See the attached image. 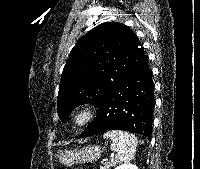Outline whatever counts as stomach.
<instances>
[{
	"label": "stomach",
	"mask_w": 200,
	"mask_h": 169,
	"mask_svg": "<svg viewBox=\"0 0 200 169\" xmlns=\"http://www.w3.org/2000/svg\"><path fill=\"white\" fill-rule=\"evenodd\" d=\"M101 148L98 145H89L82 149L65 150L58 154L59 161L64 165L94 162L101 155Z\"/></svg>",
	"instance_id": "stomach-1"
}]
</instances>
